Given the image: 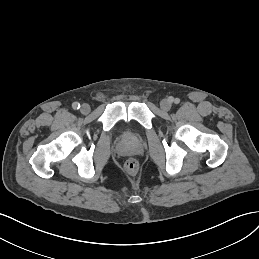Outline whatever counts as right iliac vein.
I'll return each mask as SVG.
<instances>
[{
	"label": "right iliac vein",
	"instance_id": "obj_1",
	"mask_svg": "<svg viewBox=\"0 0 259 259\" xmlns=\"http://www.w3.org/2000/svg\"><path fill=\"white\" fill-rule=\"evenodd\" d=\"M90 110H91V108L88 104H83L80 109L81 113L85 114V115L88 114L90 112Z\"/></svg>",
	"mask_w": 259,
	"mask_h": 259
}]
</instances>
